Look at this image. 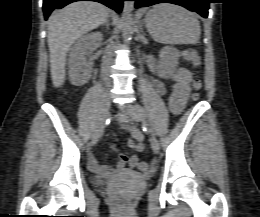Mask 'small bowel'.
<instances>
[{
  "instance_id": "1",
  "label": "small bowel",
  "mask_w": 260,
  "mask_h": 217,
  "mask_svg": "<svg viewBox=\"0 0 260 217\" xmlns=\"http://www.w3.org/2000/svg\"><path fill=\"white\" fill-rule=\"evenodd\" d=\"M149 66L152 70H155L156 68L153 60L149 61ZM191 79V72L182 68L176 70L172 75L173 82L169 96V106L171 111L175 114H178L183 107L185 98L189 92V84ZM153 86L159 94H166L165 86L159 79L153 80ZM131 133L132 140L127 143V147L134 151H141L144 148L142 134L137 129H131ZM112 148L115 150L117 149L115 145H113ZM137 163L138 158L136 155L128 157L127 155L121 153L115 170L111 167L100 166L94 156L89 158L88 166L93 173L97 174L101 178H105L112 175L114 171L121 173L132 170Z\"/></svg>"
}]
</instances>
